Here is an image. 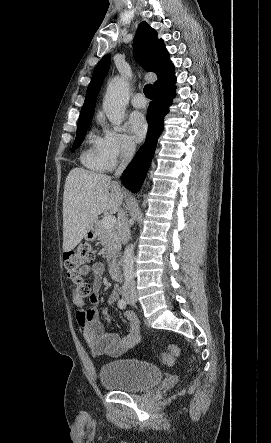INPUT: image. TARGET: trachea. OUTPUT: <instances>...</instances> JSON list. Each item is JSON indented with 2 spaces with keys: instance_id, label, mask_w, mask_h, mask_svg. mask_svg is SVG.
<instances>
[{
  "instance_id": "trachea-1",
  "label": "trachea",
  "mask_w": 271,
  "mask_h": 443,
  "mask_svg": "<svg viewBox=\"0 0 271 443\" xmlns=\"http://www.w3.org/2000/svg\"><path fill=\"white\" fill-rule=\"evenodd\" d=\"M144 94L147 98H152V85L151 84H147L144 87Z\"/></svg>"
}]
</instances>
